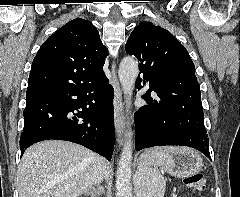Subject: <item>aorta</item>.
Returning a JSON list of instances; mask_svg holds the SVG:
<instances>
[{
    "label": "aorta",
    "instance_id": "1",
    "mask_svg": "<svg viewBox=\"0 0 240 197\" xmlns=\"http://www.w3.org/2000/svg\"><path fill=\"white\" fill-rule=\"evenodd\" d=\"M138 63L132 57H124L119 65L118 76L124 95L126 105H131V95L138 76ZM133 133L131 130L126 132V142L122 149L117 166L116 174V197H132L131 188V165L133 153Z\"/></svg>",
    "mask_w": 240,
    "mask_h": 197
}]
</instances>
